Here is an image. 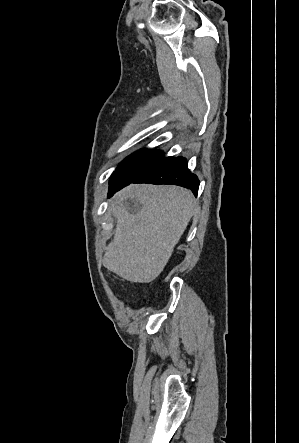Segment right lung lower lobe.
Instances as JSON below:
<instances>
[{
    "instance_id": "1",
    "label": "right lung lower lobe",
    "mask_w": 299,
    "mask_h": 443,
    "mask_svg": "<svg viewBox=\"0 0 299 443\" xmlns=\"http://www.w3.org/2000/svg\"><path fill=\"white\" fill-rule=\"evenodd\" d=\"M130 183L178 185L191 189L194 195H197L199 188V180L197 176L189 171L187 161L182 157L163 158L155 166L135 180L117 186H110L108 197H111L116 191Z\"/></svg>"
}]
</instances>
